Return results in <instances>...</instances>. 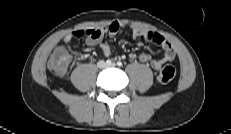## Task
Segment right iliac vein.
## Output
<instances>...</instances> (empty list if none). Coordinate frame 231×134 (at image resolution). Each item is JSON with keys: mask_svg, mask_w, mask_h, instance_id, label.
<instances>
[{"mask_svg": "<svg viewBox=\"0 0 231 134\" xmlns=\"http://www.w3.org/2000/svg\"><path fill=\"white\" fill-rule=\"evenodd\" d=\"M97 65L99 68H105L106 67V63L104 61H99Z\"/></svg>", "mask_w": 231, "mask_h": 134, "instance_id": "63e3f726", "label": "right iliac vein"}]
</instances>
